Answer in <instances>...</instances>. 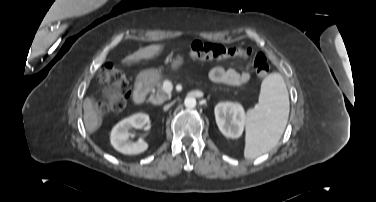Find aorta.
<instances>
[{
  "instance_id": "aorta-1",
  "label": "aorta",
  "mask_w": 376,
  "mask_h": 202,
  "mask_svg": "<svg viewBox=\"0 0 376 202\" xmlns=\"http://www.w3.org/2000/svg\"><path fill=\"white\" fill-rule=\"evenodd\" d=\"M196 104H197L196 99L192 96H188L184 100V105L187 108H194L196 106Z\"/></svg>"
}]
</instances>
